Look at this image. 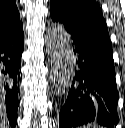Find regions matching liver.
I'll use <instances>...</instances> for the list:
<instances>
[{
  "mask_svg": "<svg viewBox=\"0 0 125 128\" xmlns=\"http://www.w3.org/2000/svg\"><path fill=\"white\" fill-rule=\"evenodd\" d=\"M2 91L0 89V128H8V124L5 122V111Z\"/></svg>",
  "mask_w": 125,
  "mask_h": 128,
  "instance_id": "obj_1",
  "label": "liver"
}]
</instances>
